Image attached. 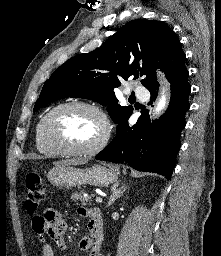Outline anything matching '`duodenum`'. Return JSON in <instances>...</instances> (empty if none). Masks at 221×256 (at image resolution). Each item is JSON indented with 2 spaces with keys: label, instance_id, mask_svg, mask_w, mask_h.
Returning a JSON list of instances; mask_svg holds the SVG:
<instances>
[{
  "label": "duodenum",
  "instance_id": "410a0bca",
  "mask_svg": "<svg viewBox=\"0 0 221 256\" xmlns=\"http://www.w3.org/2000/svg\"><path fill=\"white\" fill-rule=\"evenodd\" d=\"M96 218H97V220H98V222H99V227H98V233H102V216H101V213L100 212H98L97 214H96Z\"/></svg>",
  "mask_w": 221,
  "mask_h": 256
}]
</instances>
